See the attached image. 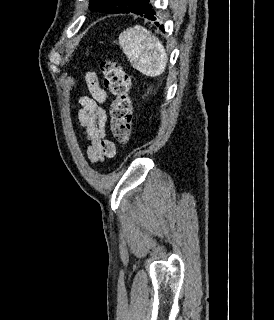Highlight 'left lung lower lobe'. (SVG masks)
<instances>
[{
  "label": "left lung lower lobe",
  "mask_w": 274,
  "mask_h": 320,
  "mask_svg": "<svg viewBox=\"0 0 274 320\" xmlns=\"http://www.w3.org/2000/svg\"><path fill=\"white\" fill-rule=\"evenodd\" d=\"M135 13L140 16H143L150 20H156V12L153 9L152 5L149 4V0H136V2L131 5L130 7L124 9L123 11L119 13ZM113 14V13H112ZM157 26L159 23H155ZM160 29L163 31L164 27L163 25H160Z\"/></svg>",
  "instance_id": "obj_1"
}]
</instances>
